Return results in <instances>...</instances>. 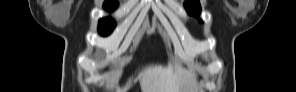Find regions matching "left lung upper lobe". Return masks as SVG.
Wrapping results in <instances>:
<instances>
[{"label": "left lung upper lobe", "instance_id": "5c2ea615", "mask_svg": "<svg viewBox=\"0 0 296 92\" xmlns=\"http://www.w3.org/2000/svg\"><path fill=\"white\" fill-rule=\"evenodd\" d=\"M184 6L189 14L194 16H198L200 14L201 7L198 0H187L184 3Z\"/></svg>", "mask_w": 296, "mask_h": 92}]
</instances>
